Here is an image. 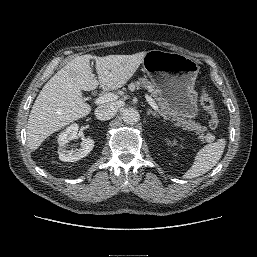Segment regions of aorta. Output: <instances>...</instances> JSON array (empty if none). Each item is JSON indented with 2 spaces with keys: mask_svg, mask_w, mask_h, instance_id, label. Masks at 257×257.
<instances>
[{
  "mask_svg": "<svg viewBox=\"0 0 257 257\" xmlns=\"http://www.w3.org/2000/svg\"><path fill=\"white\" fill-rule=\"evenodd\" d=\"M122 119L126 124H136L140 120V114L135 108H126L122 113Z\"/></svg>",
  "mask_w": 257,
  "mask_h": 257,
  "instance_id": "762f6f07",
  "label": "aorta"
}]
</instances>
